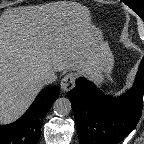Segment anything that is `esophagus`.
I'll return each instance as SVG.
<instances>
[{"label":"esophagus","instance_id":"1","mask_svg":"<svg viewBox=\"0 0 144 144\" xmlns=\"http://www.w3.org/2000/svg\"><path fill=\"white\" fill-rule=\"evenodd\" d=\"M76 77L74 74L69 73L63 77L60 83L62 92L66 93L75 87Z\"/></svg>","mask_w":144,"mask_h":144}]
</instances>
